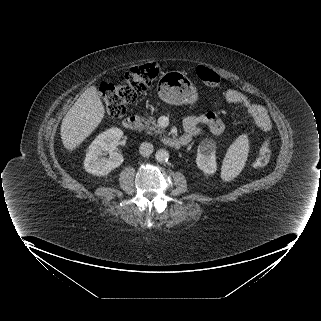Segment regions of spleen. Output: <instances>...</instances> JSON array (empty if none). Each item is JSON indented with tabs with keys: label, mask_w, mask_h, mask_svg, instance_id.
Wrapping results in <instances>:
<instances>
[{
	"label": "spleen",
	"mask_w": 321,
	"mask_h": 321,
	"mask_svg": "<svg viewBox=\"0 0 321 321\" xmlns=\"http://www.w3.org/2000/svg\"><path fill=\"white\" fill-rule=\"evenodd\" d=\"M249 152V140L246 134L240 135L229 147L223 160L221 176L230 180L239 174Z\"/></svg>",
	"instance_id": "spleen-1"
}]
</instances>
